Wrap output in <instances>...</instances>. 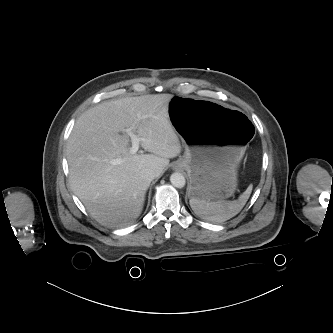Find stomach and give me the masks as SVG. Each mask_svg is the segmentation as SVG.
Instances as JSON below:
<instances>
[{
	"mask_svg": "<svg viewBox=\"0 0 333 333\" xmlns=\"http://www.w3.org/2000/svg\"><path fill=\"white\" fill-rule=\"evenodd\" d=\"M168 113L191 158L188 196L206 201L232 196L242 145L254 135L251 122L227 104L191 97H173Z\"/></svg>",
	"mask_w": 333,
	"mask_h": 333,
	"instance_id": "stomach-1",
	"label": "stomach"
}]
</instances>
